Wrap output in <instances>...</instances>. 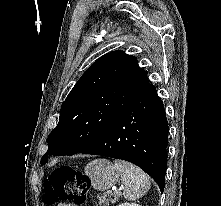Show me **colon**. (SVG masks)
I'll return each instance as SVG.
<instances>
[{"label":"colon","instance_id":"1","mask_svg":"<svg viewBox=\"0 0 221 206\" xmlns=\"http://www.w3.org/2000/svg\"><path fill=\"white\" fill-rule=\"evenodd\" d=\"M89 178L84 173L61 166L54 170L45 183L44 201L48 204L58 201H74L80 205L85 198Z\"/></svg>","mask_w":221,"mask_h":206}]
</instances>
